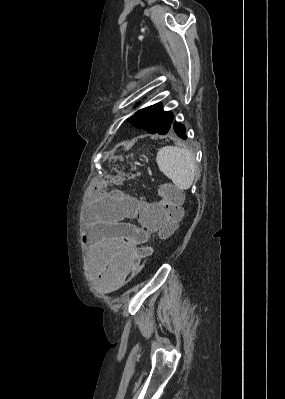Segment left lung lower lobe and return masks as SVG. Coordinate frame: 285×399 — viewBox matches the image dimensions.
Here are the masks:
<instances>
[{
    "label": "left lung lower lobe",
    "instance_id": "1",
    "mask_svg": "<svg viewBox=\"0 0 285 399\" xmlns=\"http://www.w3.org/2000/svg\"><path fill=\"white\" fill-rule=\"evenodd\" d=\"M168 132H175L179 137L183 139L186 138L184 125L175 121L174 119Z\"/></svg>",
    "mask_w": 285,
    "mask_h": 399
}]
</instances>
